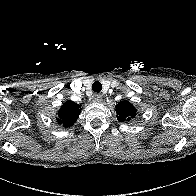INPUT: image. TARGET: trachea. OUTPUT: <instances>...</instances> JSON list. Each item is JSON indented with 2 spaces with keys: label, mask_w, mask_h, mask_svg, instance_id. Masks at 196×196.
Here are the masks:
<instances>
[{
  "label": "trachea",
  "mask_w": 196,
  "mask_h": 196,
  "mask_svg": "<svg viewBox=\"0 0 196 196\" xmlns=\"http://www.w3.org/2000/svg\"><path fill=\"white\" fill-rule=\"evenodd\" d=\"M92 90L96 93L101 92L102 90V84L99 81H95L92 85Z\"/></svg>",
  "instance_id": "obj_1"
}]
</instances>
